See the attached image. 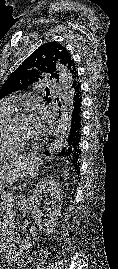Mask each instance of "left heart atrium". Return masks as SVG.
<instances>
[{"mask_svg":"<svg viewBox=\"0 0 118 269\" xmlns=\"http://www.w3.org/2000/svg\"><path fill=\"white\" fill-rule=\"evenodd\" d=\"M35 136L44 135L49 128V114L40 103H31L26 115Z\"/></svg>","mask_w":118,"mask_h":269,"instance_id":"obj_1","label":"left heart atrium"}]
</instances>
